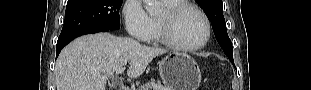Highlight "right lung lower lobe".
<instances>
[{
    "mask_svg": "<svg viewBox=\"0 0 311 90\" xmlns=\"http://www.w3.org/2000/svg\"><path fill=\"white\" fill-rule=\"evenodd\" d=\"M109 30H94V31H86V32H81L77 35H74L68 39L62 40V41H57V45H56V57L59 55L61 49L67 45L69 42H71L74 38L84 35V34H91V33H97V32H106Z\"/></svg>",
    "mask_w": 311,
    "mask_h": 90,
    "instance_id": "98d812e1",
    "label": "right lung lower lobe"
}]
</instances>
